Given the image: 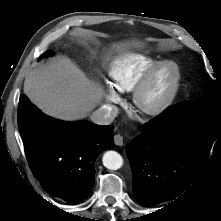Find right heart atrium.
<instances>
[{"label":"right heart atrium","instance_id":"obj_1","mask_svg":"<svg viewBox=\"0 0 221 221\" xmlns=\"http://www.w3.org/2000/svg\"><path fill=\"white\" fill-rule=\"evenodd\" d=\"M106 99L109 103H112V104H119L122 100L119 93L113 87H109L107 89Z\"/></svg>","mask_w":221,"mask_h":221}]
</instances>
